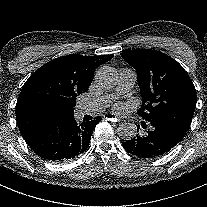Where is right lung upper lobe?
I'll return each instance as SVG.
<instances>
[{"instance_id": "1", "label": "right lung upper lobe", "mask_w": 207, "mask_h": 207, "mask_svg": "<svg viewBox=\"0 0 207 207\" xmlns=\"http://www.w3.org/2000/svg\"><path fill=\"white\" fill-rule=\"evenodd\" d=\"M112 58L72 54L37 69L23 85L16 104L22 137L73 116L76 97L88 90L95 69Z\"/></svg>"}]
</instances>
